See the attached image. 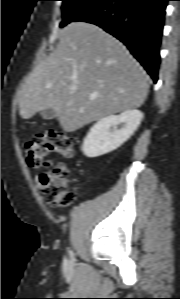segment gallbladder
I'll use <instances>...</instances> for the list:
<instances>
[{
  "label": "gallbladder",
  "mask_w": 180,
  "mask_h": 299,
  "mask_svg": "<svg viewBox=\"0 0 180 299\" xmlns=\"http://www.w3.org/2000/svg\"><path fill=\"white\" fill-rule=\"evenodd\" d=\"M41 116L46 120H51L56 117V112L53 108H48L41 112Z\"/></svg>",
  "instance_id": "1"
}]
</instances>
